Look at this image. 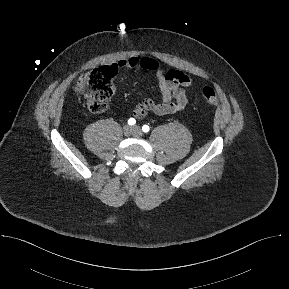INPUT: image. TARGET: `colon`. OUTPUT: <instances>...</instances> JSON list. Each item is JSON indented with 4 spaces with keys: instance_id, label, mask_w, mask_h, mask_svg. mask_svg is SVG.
Listing matches in <instances>:
<instances>
[{
    "instance_id": "colon-1",
    "label": "colon",
    "mask_w": 289,
    "mask_h": 289,
    "mask_svg": "<svg viewBox=\"0 0 289 289\" xmlns=\"http://www.w3.org/2000/svg\"><path fill=\"white\" fill-rule=\"evenodd\" d=\"M115 68L100 67L84 73L76 83V91L86 99L88 108L95 113L104 112L108 108V100L114 94L113 77ZM203 98L215 105L218 97L212 87L202 89Z\"/></svg>"
}]
</instances>
